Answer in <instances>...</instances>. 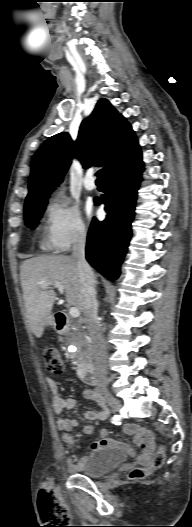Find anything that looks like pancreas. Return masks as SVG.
<instances>
[{"label":"pancreas","mask_w":192,"mask_h":527,"mask_svg":"<svg viewBox=\"0 0 192 527\" xmlns=\"http://www.w3.org/2000/svg\"><path fill=\"white\" fill-rule=\"evenodd\" d=\"M69 338L70 343L76 344L78 346H80L86 341L84 333L79 327L71 331V333L69 334Z\"/></svg>","instance_id":"cf45deb5"}]
</instances>
